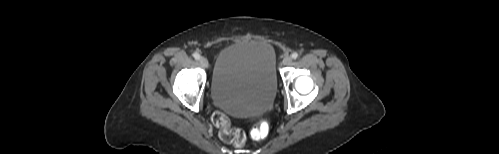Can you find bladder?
<instances>
[{"label": "bladder", "instance_id": "obj_1", "mask_svg": "<svg viewBox=\"0 0 499 154\" xmlns=\"http://www.w3.org/2000/svg\"><path fill=\"white\" fill-rule=\"evenodd\" d=\"M277 90L276 55L263 41L235 42L216 59L210 95L213 103L235 116L266 112Z\"/></svg>", "mask_w": 499, "mask_h": 154}]
</instances>
